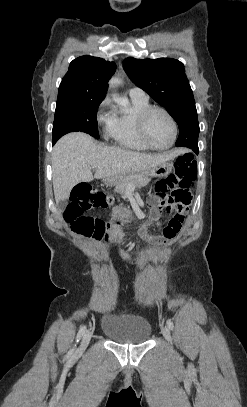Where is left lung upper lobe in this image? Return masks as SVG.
Here are the masks:
<instances>
[{
    "instance_id": "5c2ea615",
    "label": "left lung upper lobe",
    "mask_w": 247,
    "mask_h": 407,
    "mask_svg": "<svg viewBox=\"0 0 247 407\" xmlns=\"http://www.w3.org/2000/svg\"><path fill=\"white\" fill-rule=\"evenodd\" d=\"M131 81L163 106L179 126L176 146L198 145L199 123L195 101L183 64L171 58L123 61Z\"/></svg>"
}]
</instances>
